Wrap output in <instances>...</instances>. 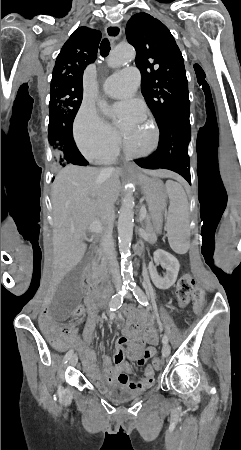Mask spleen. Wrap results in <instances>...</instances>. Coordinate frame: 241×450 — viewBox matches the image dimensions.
<instances>
[{
	"label": "spleen",
	"instance_id": "3e777b00",
	"mask_svg": "<svg viewBox=\"0 0 241 450\" xmlns=\"http://www.w3.org/2000/svg\"><path fill=\"white\" fill-rule=\"evenodd\" d=\"M166 192L169 196L170 202H168V211H185V212H168V242L176 252V254H186L189 250V238L190 231L187 226L190 223L188 209L189 204L187 202V196L185 190L178 182H172L167 180Z\"/></svg>",
	"mask_w": 241,
	"mask_h": 450
}]
</instances>
